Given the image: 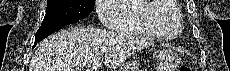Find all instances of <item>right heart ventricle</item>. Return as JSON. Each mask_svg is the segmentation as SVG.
<instances>
[{
  "instance_id": "obj_1",
  "label": "right heart ventricle",
  "mask_w": 230,
  "mask_h": 71,
  "mask_svg": "<svg viewBox=\"0 0 230 71\" xmlns=\"http://www.w3.org/2000/svg\"><path fill=\"white\" fill-rule=\"evenodd\" d=\"M112 12L111 29L121 33L170 39L181 32L175 1L125 0L114 5Z\"/></svg>"
}]
</instances>
